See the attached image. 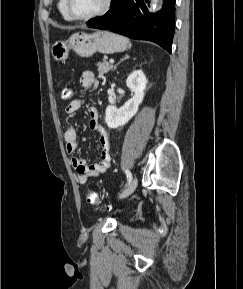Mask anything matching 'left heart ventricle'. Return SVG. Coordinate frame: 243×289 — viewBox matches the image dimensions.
I'll return each mask as SVG.
<instances>
[{
  "instance_id": "b2bd125f",
  "label": "left heart ventricle",
  "mask_w": 243,
  "mask_h": 289,
  "mask_svg": "<svg viewBox=\"0 0 243 289\" xmlns=\"http://www.w3.org/2000/svg\"><path fill=\"white\" fill-rule=\"evenodd\" d=\"M105 0H70L71 11L76 16H88L99 11Z\"/></svg>"
}]
</instances>
